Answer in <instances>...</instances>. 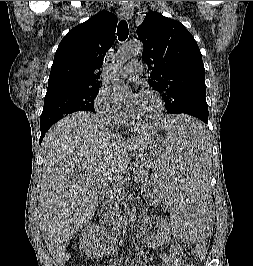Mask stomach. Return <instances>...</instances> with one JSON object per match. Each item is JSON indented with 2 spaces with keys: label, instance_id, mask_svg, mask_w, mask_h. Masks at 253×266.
Here are the masks:
<instances>
[{
  "label": "stomach",
  "instance_id": "obj_1",
  "mask_svg": "<svg viewBox=\"0 0 253 266\" xmlns=\"http://www.w3.org/2000/svg\"><path fill=\"white\" fill-rule=\"evenodd\" d=\"M164 145V138L159 136L150 137L143 145L138 147L135 151L136 159L146 168H151L153 160L156 158V151L161 150Z\"/></svg>",
  "mask_w": 253,
  "mask_h": 266
}]
</instances>
